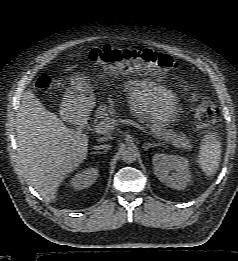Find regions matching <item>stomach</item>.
Masks as SVG:
<instances>
[{
	"label": "stomach",
	"mask_w": 238,
	"mask_h": 261,
	"mask_svg": "<svg viewBox=\"0 0 238 261\" xmlns=\"http://www.w3.org/2000/svg\"><path fill=\"white\" fill-rule=\"evenodd\" d=\"M70 90L66 94L63 106L74 115H83L95 105L92 87L84 73H77L70 78Z\"/></svg>",
	"instance_id": "obj_1"
}]
</instances>
